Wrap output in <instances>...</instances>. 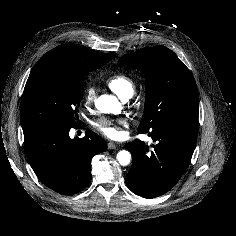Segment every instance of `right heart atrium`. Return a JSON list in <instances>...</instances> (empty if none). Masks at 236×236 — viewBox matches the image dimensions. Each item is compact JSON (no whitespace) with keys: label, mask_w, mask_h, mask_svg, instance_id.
Instances as JSON below:
<instances>
[{"label":"right heart atrium","mask_w":236,"mask_h":236,"mask_svg":"<svg viewBox=\"0 0 236 236\" xmlns=\"http://www.w3.org/2000/svg\"><path fill=\"white\" fill-rule=\"evenodd\" d=\"M94 97H95V88L92 86H87L84 90V95H83L84 103L86 105H91L94 101Z\"/></svg>","instance_id":"d8ad5b80"}]
</instances>
